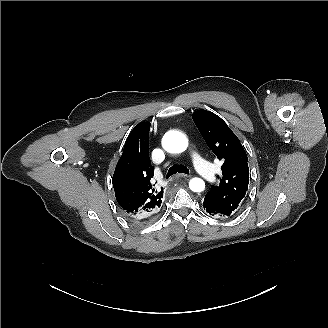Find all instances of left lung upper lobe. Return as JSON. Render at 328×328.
Here are the masks:
<instances>
[{
    "label": "left lung upper lobe",
    "mask_w": 328,
    "mask_h": 328,
    "mask_svg": "<svg viewBox=\"0 0 328 328\" xmlns=\"http://www.w3.org/2000/svg\"><path fill=\"white\" fill-rule=\"evenodd\" d=\"M192 118L209 148L223 161L218 186H211L206 200L224 215H231L244 198L249 184L248 157L238 137L216 114L198 110Z\"/></svg>",
    "instance_id": "left-lung-upper-lobe-1"
}]
</instances>
